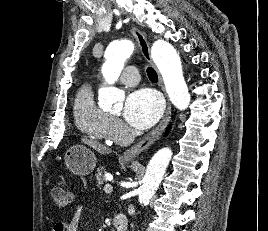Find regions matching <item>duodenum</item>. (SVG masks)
Instances as JSON below:
<instances>
[{
    "label": "duodenum",
    "instance_id": "410a0bca",
    "mask_svg": "<svg viewBox=\"0 0 268 231\" xmlns=\"http://www.w3.org/2000/svg\"><path fill=\"white\" fill-rule=\"evenodd\" d=\"M113 227L116 231H127L128 222L124 213L118 212L113 216Z\"/></svg>",
    "mask_w": 268,
    "mask_h": 231
}]
</instances>
